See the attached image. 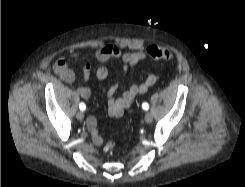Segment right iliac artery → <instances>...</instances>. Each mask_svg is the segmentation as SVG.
<instances>
[{
	"label": "right iliac artery",
	"mask_w": 245,
	"mask_h": 187,
	"mask_svg": "<svg viewBox=\"0 0 245 187\" xmlns=\"http://www.w3.org/2000/svg\"><path fill=\"white\" fill-rule=\"evenodd\" d=\"M80 110L84 111L86 109V105L84 103L79 104Z\"/></svg>",
	"instance_id": "obj_1"
}]
</instances>
